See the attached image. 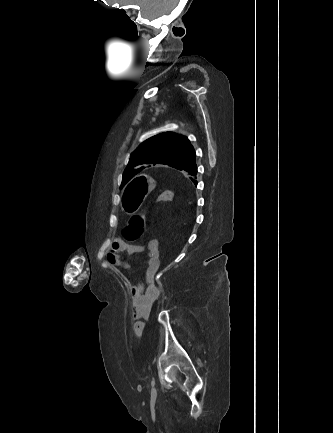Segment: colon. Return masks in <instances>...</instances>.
<instances>
[{"label":"colon","mask_w":333,"mask_h":433,"mask_svg":"<svg viewBox=\"0 0 333 433\" xmlns=\"http://www.w3.org/2000/svg\"><path fill=\"white\" fill-rule=\"evenodd\" d=\"M172 199L173 194L169 191H165L157 197L156 202L171 201ZM146 215V212H142L135 214L128 219L122 229L124 240L127 242H135L142 237L145 230Z\"/></svg>","instance_id":"1"}]
</instances>
